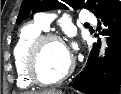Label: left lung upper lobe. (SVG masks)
Segmentation results:
<instances>
[{
  "label": "left lung upper lobe",
  "instance_id": "5c2ea615",
  "mask_svg": "<svg viewBox=\"0 0 121 94\" xmlns=\"http://www.w3.org/2000/svg\"><path fill=\"white\" fill-rule=\"evenodd\" d=\"M86 8L93 12L97 18H105L114 10L121 7L119 0H23L17 24L32 12H43L51 9Z\"/></svg>",
  "mask_w": 121,
  "mask_h": 94
}]
</instances>
